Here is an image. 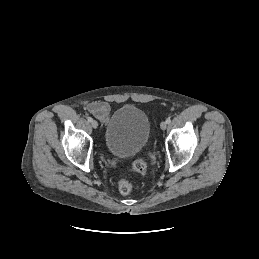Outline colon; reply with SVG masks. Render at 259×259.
<instances>
[{
	"mask_svg": "<svg viewBox=\"0 0 259 259\" xmlns=\"http://www.w3.org/2000/svg\"><path fill=\"white\" fill-rule=\"evenodd\" d=\"M153 159H154L153 155H150L148 157V160H153ZM148 160L147 159L135 160L131 165V170L139 174L145 173ZM118 189L122 195H129L132 191V185L128 179L122 178L118 182Z\"/></svg>",
	"mask_w": 259,
	"mask_h": 259,
	"instance_id": "5ec220e1",
	"label": "colon"
}]
</instances>
